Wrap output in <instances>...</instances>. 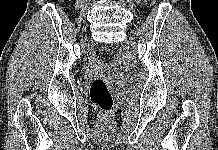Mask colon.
I'll use <instances>...</instances> for the list:
<instances>
[{
	"mask_svg": "<svg viewBox=\"0 0 218 150\" xmlns=\"http://www.w3.org/2000/svg\"><path fill=\"white\" fill-rule=\"evenodd\" d=\"M149 5H154L155 0H146ZM96 58L102 63L112 62L115 58L114 52L106 46L96 50ZM91 102L103 113H109L113 107L114 100L106 81L102 78L95 79L89 91Z\"/></svg>",
	"mask_w": 218,
	"mask_h": 150,
	"instance_id": "colon-1",
	"label": "colon"
}]
</instances>
